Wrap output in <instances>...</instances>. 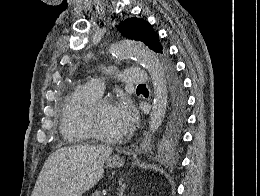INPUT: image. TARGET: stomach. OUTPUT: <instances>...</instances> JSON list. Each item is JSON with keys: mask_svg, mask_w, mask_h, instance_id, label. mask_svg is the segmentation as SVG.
<instances>
[{"mask_svg": "<svg viewBox=\"0 0 260 196\" xmlns=\"http://www.w3.org/2000/svg\"><path fill=\"white\" fill-rule=\"evenodd\" d=\"M123 164V158H120V156H112V158L106 160L105 168H122Z\"/></svg>", "mask_w": 260, "mask_h": 196, "instance_id": "0dacf381", "label": "stomach"}]
</instances>
